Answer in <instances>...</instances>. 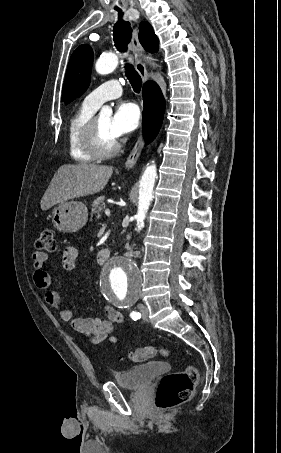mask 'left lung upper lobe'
Wrapping results in <instances>:
<instances>
[{
	"instance_id": "left-lung-upper-lobe-1",
	"label": "left lung upper lobe",
	"mask_w": 281,
	"mask_h": 453,
	"mask_svg": "<svg viewBox=\"0 0 281 453\" xmlns=\"http://www.w3.org/2000/svg\"><path fill=\"white\" fill-rule=\"evenodd\" d=\"M93 51L88 45L79 46L72 54L63 86L62 101L70 103L81 96L90 84Z\"/></svg>"
}]
</instances>
